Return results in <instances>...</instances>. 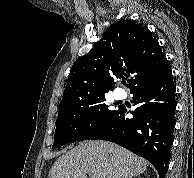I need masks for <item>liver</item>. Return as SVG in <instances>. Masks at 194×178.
I'll return each instance as SVG.
<instances>
[{
  "instance_id": "6515ba94",
  "label": "liver",
  "mask_w": 194,
  "mask_h": 178,
  "mask_svg": "<svg viewBox=\"0 0 194 178\" xmlns=\"http://www.w3.org/2000/svg\"><path fill=\"white\" fill-rule=\"evenodd\" d=\"M147 161L114 143L85 141L59 157L48 178H132L145 172Z\"/></svg>"
}]
</instances>
